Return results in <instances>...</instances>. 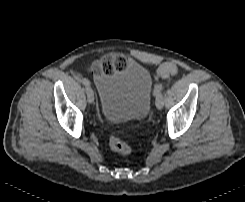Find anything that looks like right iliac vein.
<instances>
[{
    "mask_svg": "<svg viewBox=\"0 0 245 202\" xmlns=\"http://www.w3.org/2000/svg\"><path fill=\"white\" fill-rule=\"evenodd\" d=\"M87 100L89 103L94 102V91L91 87L86 88Z\"/></svg>",
    "mask_w": 245,
    "mask_h": 202,
    "instance_id": "63e3f726",
    "label": "right iliac vein"
}]
</instances>
